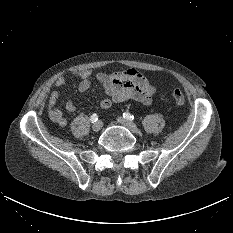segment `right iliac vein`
<instances>
[{
  "instance_id": "1",
  "label": "right iliac vein",
  "mask_w": 233,
  "mask_h": 233,
  "mask_svg": "<svg viewBox=\"0 0 233 233\" xmlns=\"http://www.w3.org/2000/svg\"><path fill=\"white\" fill-rule=\"evenodd\" d=\"M102 126H103L102 121H97L96 123L93 124L92 130L94 132H98L102 128Z\"/></svg>"
}]
</instances>
